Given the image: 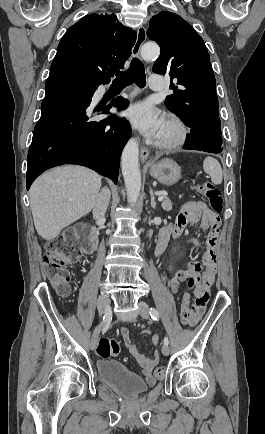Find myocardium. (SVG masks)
<instances>
[{"instance_id": "1", "label": "myocardium", "mask_w": 265, "mask_h": 434, "mask_svg": "<svg viewBox=\"0 0 265 434\" xmlns=\"http://www.w3.org/2000/svg\"><path fill=\"white\" fill-rule=\"evenodd\" d=\"M167 136L156 143L160 150H175L181 147L188 135L185 123L177 116H171L166 123Z\"/></svg>"}]
</instances>
